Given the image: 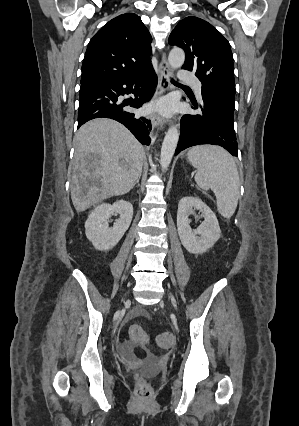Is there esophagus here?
<instances>
[{
    "instance_id": "1",
    "label": "esophagus",
    "mask_w": 299,
    "mask_h": 426,
    "mask_svg": "<svg viewBox=\"0 0 299 426\" xmlns=\"http://www.w3.org/2000/svg\"><path fill=\"white\" fill-rule=\"evenodd\" d=\"M170 75H171V69L168 64L166 54L163 53L162 60L159 64V82H158L157 90L154 95L155 99H157L161 94L165 93L171 88ZM151 121L153 126L155 127L160 126L161 128H163L167 123L165 119H163L160 115L155 113L151 115Z\"/></svg>"
}]
</instances>
